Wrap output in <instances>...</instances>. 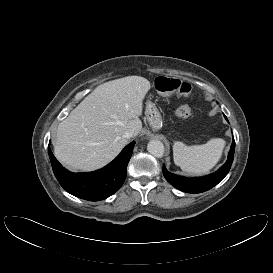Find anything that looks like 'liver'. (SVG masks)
<instances>
[{
  "label": "liver",
  "instance_id": "1",
  "mask_svg": "<svg viewBox=\"0 0 273 273\" xmlns=\"http://www.w3.org/2000/svg\"><path fill=\"white\" fill-rule=\"evenodd\" d=\"M150 82L127 76L101 84L60 122L54 154L72 169L92 171L113 160L127 144L125 131L138 135Z\"/></svg>",
  "mask_w": 273,
  "mask_h": 273
}]
</instances>
